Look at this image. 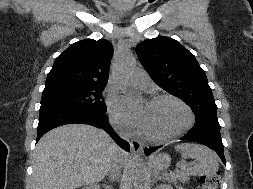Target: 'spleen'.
<instances>
[{
  "instance_id": "3e777b00",
  "label": "spleen",
  "mask_w": 253,
  "mask_h": 189,
  "mask_svg": "<svg viewBox=\"0 0 253 189\" xmlns=\"http://www.w3.org/2000/svg\"><path fill=\"white\" fill-rule=\"evenodd\" d=\"M176 151L181 153L182 158L196 160L193 166H183V172L193 176L215 174L219 169L216 154L210 148L193 143H182L175 146Z\"/></svg>"
}]
</instances>
